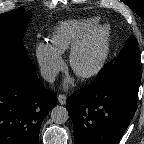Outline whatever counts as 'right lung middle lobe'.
<instances>
[{
  "label": "right lung middle lobe",
  "mask_w": 144,
  "mask_h": 144,
  "mask_svg": "<svg viewBox=\"0 0 144 144\" xmlns=\"http://www.w3.org/2000/svg\"><path fill=\"white\" fill-rule=\"evenodd\" d=\"M30 18L24 8L0 14V64H13L35 76V68L22 43Z\"/></svg>",
  "instance_id": "right-lung-middle-lobe-1"
}]
</instances>
